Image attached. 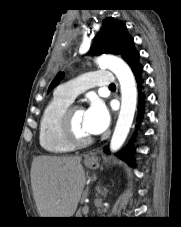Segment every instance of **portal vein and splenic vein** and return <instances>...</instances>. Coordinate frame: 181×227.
Segmentation results:
<instances>
[{
    "instance_id": "portal-vein-and-splenic-vein-1",
    "label": "portal vein and splenic vein",
    "mask_w": 181,
    "mask_h": 227,
    "mask_svg": "<svg viewBox=\"0 0 181 227\" xmlns=\"http://www.w3.org/2000/svg\"><path fill=\"white\" fill-rule=\"evenodd\" d=\"M84 208L88 211V209H89V207L86 205V206H84Z\"/></svg>"
}]
</instances>
